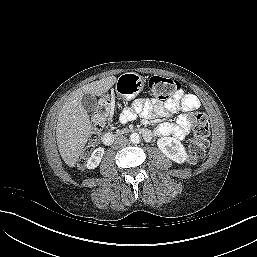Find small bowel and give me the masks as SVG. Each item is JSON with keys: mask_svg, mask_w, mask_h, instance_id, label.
Here are the masks:
<instances>
[{"mask_svg": "<svg viewBox=\"0 0 257 257\" xmlns=\"http://www.w3.org/2000/svg\"><path fill=\"white\" fill-rule=\"evenodd\" d=\"M200 102L198 98L190 93H185L179 89L165 103H158L148 99L140 98L135 100L130 107L125 108L119 116L122 123H127L136 118L137 115L142 117L160 116L165 117L176 111H192L198 109ZM190 130V122L185 115L178 117L175 123L165 122L160 124L155 134L158 136H173L183 140Z\"/></svg>", "mask_w": 257, "mask_h": 257, "instance_id": "1", "label": "small bowel"}]
</instances>
